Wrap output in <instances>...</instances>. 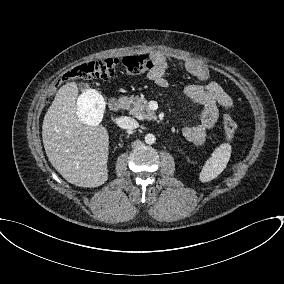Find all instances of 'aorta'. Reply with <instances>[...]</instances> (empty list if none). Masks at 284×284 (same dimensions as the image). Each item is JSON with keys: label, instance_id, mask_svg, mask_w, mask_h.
<instances>
[{"label": "aorta", "instance_id": "1", "mask_svg": "<svg viewBox=\"0 0 284 284\" xmlns=\"http://www.w3.org/2000/svg\"><path fill=\"white\" fill-rule=\"evenodd\" d=\"M155 141H156V137H155L154 134L149 133V134H147V135L145 136V142H146L147 144H149V145H150V144H154Z\"/></svg>", "mask_w": 284, "mask_h": 284}]
</instances>
